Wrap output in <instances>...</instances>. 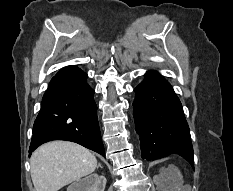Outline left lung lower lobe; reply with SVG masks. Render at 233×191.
Segmentation results:
<instances>
[{"instance_id":"1","label":"left lung lower lobe","mask_w":233,"mask_h":191,"mask_svg":"<svg viewBox=\"0 0 233 191\" xmlns=\"http://www.w3.org/2000/svg\"><path fill=\"white\" fill-rule=\"evenodd\" d=\"M134 91L133 116L141 157L155 160L179 155L194 167L189 127L172 86L156 71H149Z\"/></svg>"}]
</instances>
